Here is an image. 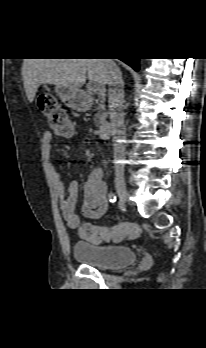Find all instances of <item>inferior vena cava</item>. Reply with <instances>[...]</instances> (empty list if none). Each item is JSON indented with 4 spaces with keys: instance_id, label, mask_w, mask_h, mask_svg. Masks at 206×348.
Wrapping results in <instances>:
<instances>
[{
    "instance_id": "obj_1",
    "label": "inferior vena cava",
    "mask_w": 206,
    "mask_h": 348,
    "mask_svg": "<svg viewBox=\"0 0 206 348\" xmlns=\"http://www.w3.org/2000/svg\"><path fill=\"white\" fill-rule=\"evenodd\" d=\"M108 66V107L113 136V150L115 160H124L125 158V125L123 114L124 102V83L120 69L114 63L113 59H104ZM123 170V166L119 167Z\"/></svg>"
}]
</instances>
